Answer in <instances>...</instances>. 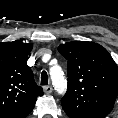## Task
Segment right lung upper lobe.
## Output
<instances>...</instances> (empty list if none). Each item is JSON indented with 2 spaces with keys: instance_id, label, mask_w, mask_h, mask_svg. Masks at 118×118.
I'll return each instance as SVG.
<instances>
[{
  "instance_id": "obj_1",
  "label": "right lung upper lobe",
  "mask_w": 118,
  "mask_h": 118,
  "mask_svg": "<svg viewBox=\"0 0 118 118\" xmlns=\"http://www.w3.org/2000/svg\"><path fill=\"white\" fill-rule=\"evenodd\" d=\"M33 45L0 42V118H25L43 95L27 65Z\"/></svg>"
}]
</instances>
